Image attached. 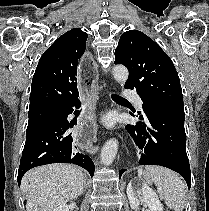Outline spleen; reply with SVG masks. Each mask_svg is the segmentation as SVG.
<instances>
[{"mask_svg": "<svg viewBox=\"0 0 209 211\" xmlns=\"http://www.w3.org/2000/svg\"><path fill=\"white\" fill-rule=\"evenodd\" d=\"M147 170L166 205L172 210L183 211L186 193L183 179L174 171L161 166H150Z\"/></svg>", "mask_w": 209, "mask_h": 211, "instance_id": "spleen-1", "label": "spleen"}]
</instances>
